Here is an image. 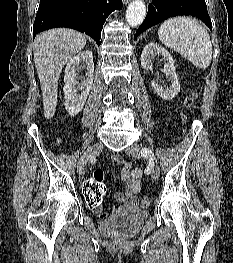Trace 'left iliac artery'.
I'll return each instance as SVG.
<instances>
[{"mask_svg": "<svg viewBox=\"0 0 233 263\" xmlns=\"http://www.w3.org/2000/svg\"><path fill=\"white\" fill-rule=\"evenodd\" d=\"M142 154L149 155L150 157H154V154L152 153V151L147 148L142 149Z\"/></svg>", "mask_w": 233, "mask_h": 263, "instance_id": "left-iliac-artery-1", "label": "left iliac artery"}]
</instances>
